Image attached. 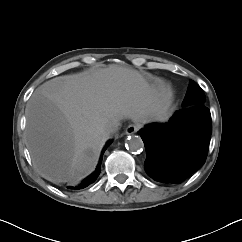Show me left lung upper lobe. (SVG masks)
Listing matches in <instances>:
<instances>
[{"mask_svg":"<svg viewBox=\"0 0 242 242\" xmlns=\"http://www.w3.org/2000/svg\"><path fill=\"white\" fill-rule=\"evenodd\" d=\"M205 95L202 89L193 81L190 80L187 93L183 101V107H191L195 105L205 104Z\"/></svg>","mask_w":242,"mask_h":242,"instance_id":"5c2ea615","label":"left lung upper lobe"}]
</instances>
